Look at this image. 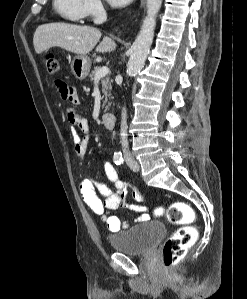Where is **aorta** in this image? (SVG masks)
Returning a JSON list of instances; mask_svg holds the SVG:
<instances>
[{"label": "aorta", "mask_w": 247, "mask_h": 299, "mask_svg": "<svg viewBox=\"0 0 247 299\" xmlns=\"http://www.w3.org/2000/svg\"><path fill=\"white\" fill-rule=\"evenodd\" d=\"M162 0H147V16L145 17L141 30L130 49V58L127 73L133 77L144 67L146 58L152 45L156 16L161 8Z\"/></svg>", "instance_id": "762f6f07"}]
</instances>
